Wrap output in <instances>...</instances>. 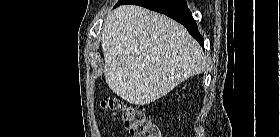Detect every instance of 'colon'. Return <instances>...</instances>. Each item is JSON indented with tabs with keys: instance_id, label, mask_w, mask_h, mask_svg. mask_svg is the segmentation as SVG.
Returning <instances> with one entry per match:
<instances>
[{
	"instance_id": "5ec220e1",
	"label": "colon",
	"mask_w": 280,
	"mask_h": 137,
	"mask_svg": "<svg viewBox=\"0 0 280 137\" xmlns=\"http://www.w3.org/2000/svg\"><path fill=\"white\" fill-rule=\"evenodd\" d=\"M101 107L111 115L119 114L132 137H158L159 128L145 115L138 106L126 104L116 98H107L101 102Z\"/></svg>"
}]
</instances>
